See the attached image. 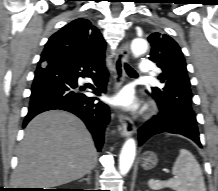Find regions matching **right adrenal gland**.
Here are the masks:
<instances>
[{
  "mask_svg": "<svg viewBox=\"0 0 218 191\" xmlns=\"http://www.w3.org/2000/svg\"><path fill=\"white\" fill-rule=\"evenodd\" d=\"M90 177H91V172H89V173L87 174V178L81 179L80 182L85 180V181H87L88 184H90Z\"/></svg>",
  "mask_w": 218,
  "mask_h": 191,
  "instance_id": "2a0ac1e0",
  "label": "right adrenal gland"
}]
</instances>
